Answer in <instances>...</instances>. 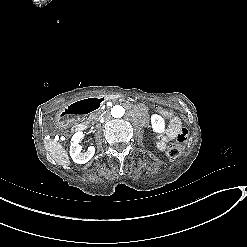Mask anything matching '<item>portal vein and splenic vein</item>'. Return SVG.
I'll return each instance as SVG.
<instances>
[{
	"instance_id": "18ae733b",
	"label": "portal vein and splenic vein",
	"mask_w": 247,
	"mask_h": 247,
	"mask_svg": "<svg viewBox=\"0 0 247 247\" xmlns=\"http://www.w3.org/2000/svg\"><path fill=\"white\" fill-rule=\"evenodd\" d=\"M101 109H106V106H101Z\"/></svg>"
}]
</instances>
